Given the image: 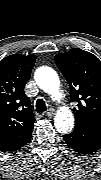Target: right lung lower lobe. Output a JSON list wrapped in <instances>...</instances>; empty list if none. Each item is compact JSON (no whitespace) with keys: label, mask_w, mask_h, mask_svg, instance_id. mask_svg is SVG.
Wrapping results in <instances>:
<instances>
[{"label":"right lung lower lobe","mask_w":101,"mask_h":180,"mask_svg":"<svg viewBox=\"0 0 101 180\" xmlns=\"http://www.w3.org/2000/svg\"><path fill=\"white\" fill-rule=\"evenodd\" d=\"M31 135H32V133L29 135V137L27 139H25L22 143H20L18 145L17 149H15L14 151H16V150L22 148L23 146H25L30 141ZM9 152H13V151H9Z\"/></svg>","instance_id":"98d812e1"}]
</instances>
